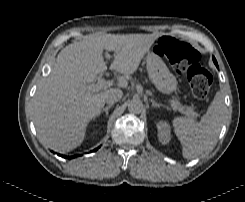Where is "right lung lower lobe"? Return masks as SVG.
I'll return each mask as SVG.
<instances>
[{"instance_id": "98d812e1", "label": "right lung lower lobe", "mask_w": 245, "mask_h": 202, "mask_svg": "<svg viewBox=\"0 0 245 202\" xmlns=\"http://www.w3.org/2000/svg\"><path fill=\"white\" fill-rule=\"evenodd\" d=\"M96 150H98V148H96L95 150H93V151H96ZM64 158H69V159H72V158H74V156H63Z\"/></svg>"}]
</instances>
